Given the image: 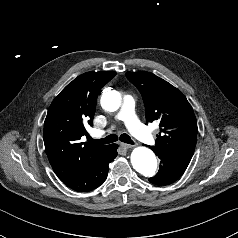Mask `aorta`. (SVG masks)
<instances>
[{"label":"aorta","instance_id":"obj_1","mask_svg":"<svg viewBox=\"0 0 238 238\" xmlns=\"http://www.w3.org/2000/svg\"><path fill=\"white\" fill-rule=\"evenodd\" d=\"M121 104V97L118 91L112 90L103 94L101 105L107 111H116ZM133 168L144 175L152 177L157 169V160L154 153L146 147H137L131 153Z\"/></svg>","mask_w":238,"mask_h":238}]
</instances>
